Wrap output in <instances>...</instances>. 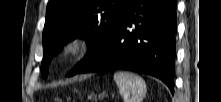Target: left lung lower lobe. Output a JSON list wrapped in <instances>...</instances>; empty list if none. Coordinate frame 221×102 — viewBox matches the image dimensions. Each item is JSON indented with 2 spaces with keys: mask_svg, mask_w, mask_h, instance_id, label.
Returning <instances> with one entry per match:
<instances>
[{
  "mask_svg": "<svg viewBox=\"0 0 221 102\" xmlns=\"http://www.w3.org/2000/svg\"><path fill=\"white\" fill-rule=\"evenodd\" d=\"M175 0H128L112 34L75 74L131 70L162 80L173 93Z\"/></svg>",
  "mask_w": 221,
  "mask_h": 102,
  "instance_id": "1",
  "label": "left lung lower lobe"
}]
</instances>
